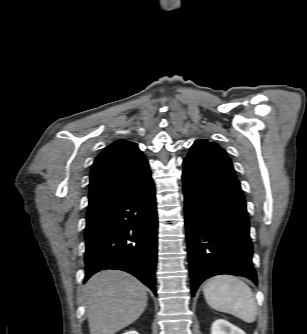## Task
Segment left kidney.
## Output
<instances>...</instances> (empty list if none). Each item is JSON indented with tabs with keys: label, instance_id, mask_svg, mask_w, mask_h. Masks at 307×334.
I'll return each mask as SVG.
<instances>
[{
	"label": "left kidney",
	"instance_id": "obj_1",
	"mask_svg": "<svg viewBox=\"0 0 307 334\" xmlns=\"http://www.w3.org/2000/svg\"><path fill=\"white\" fill-rule=\"evenodd\" d=\"M211 334H246L224 319H217L212 323Z\"/></svg>",
	"mask_w": 307,
	"mask_h": 334
}]
</instances>
